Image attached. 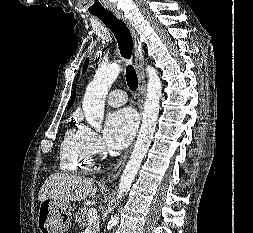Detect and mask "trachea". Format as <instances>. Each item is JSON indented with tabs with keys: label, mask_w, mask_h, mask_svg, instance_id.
Returning a JSON list of instances; mask_svg holds the SVG:
<instances>
[{
	"label": "trachea",
	"mask_w": 253,
	"mask_h": 233,
	"mask_svg": "<svg viewBox=\"0 0 253 233\" xmlns=\"http://www.w3.org/2000/svg\"><path fill=\"white\" fill-rule=\"evenodd\" d=\"M94 15L97 16L116 37L121 56L130 59L133 50V41L126 24L117 19L112 12L96 13ZM126 81L132 91L138 88L137 74L132 65L126 67Z\"/></svg>",
	"instance_id": "obj_1"
}]
</instances>
